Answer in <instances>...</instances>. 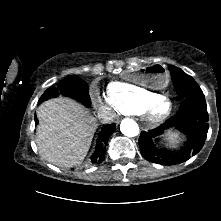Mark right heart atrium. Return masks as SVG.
I'll use <instances>...</instances> for the list:
<instances>
[{
    "mask_svg": "<svg viewBox=\"0 0 221 221\" xmlns=\"http://www.w3.org/2000/svg\"><path fill=\"white\" fill-rule=\"evenodd\" d=\"M100 101L107 106L110 109H115L114 105L112 104V102L110 101L109 97L106 96L105 94H102L99 96Z\"/></svg>",
    "mask_w": 221,
    "mask_h": 221,
    "instance_id": "d8ad5b80",
    "label": "right heart atrium"
}]
</instances>
